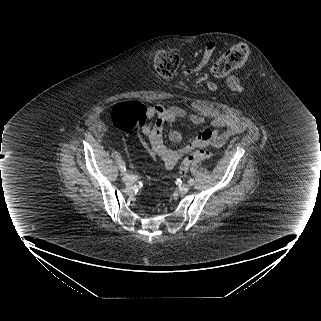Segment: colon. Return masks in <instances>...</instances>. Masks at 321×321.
<instances>
[{"mask_svg": "<svg viewBox=\"0 0 321 321\" xmlns=\"http://www.w3.org/2000/svg\"><path fill=\"white\" fill-rule=\"evenodd\" d=\"M249 51L244 44H237L226 51L211 67V75L215 78H223L241 67L247 60ZM153 67L157 74L163 78L173 77L180 65L179 55L168 48L156 49L151 54ZM113 122L121 130L130 132L135 128H141L147 121V108L136 100L123 101L113 110ZM211 132L205 130L198 137L199 149L187 156L179 167L180 173H186L190 165L199 160H207L211 153L203 148L210 144Z\"/></svg>", "mask_w": 321, "mask_h": 321, "instance_id": "colon-1", "label": "colon"}]
</instances>
